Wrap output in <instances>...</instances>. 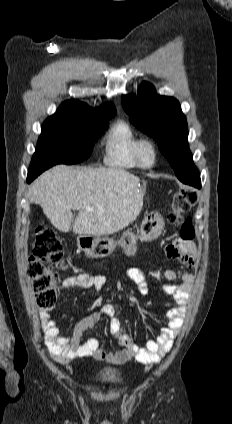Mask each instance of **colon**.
I'll return each instance as SVG.
<instances>
[{
  "mask_svg": "<svg viewBox=\"0 0 232 424\" xmlns=\"http://www.w3.org/2000/svg\"><path fill=\"white\" fill-rule=\"evenodd\" d=\"M198 194L190 188H178L173 196L168 220L180 225V237L192 240L195 236L190 217L184 216L197 202ZM64 252L62 244L53 231L40 226L35 233L27 275L33 281L36 303L42 309H51L57 298L58 275L53 266H62Z\"/></svg>",
  "mask_w": 232,
  "mask_h": 424,
  "instance_id": "1",
  "label": "colon"
}]
</instances>
